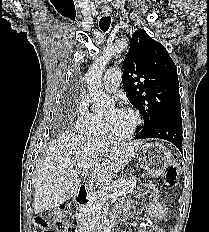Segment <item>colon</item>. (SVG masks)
<instances>
[{"label":"colon","mask_w":209,"mask_h":232,"mask_svg":"<svg viewBox=\"0 0 209 232\" xmlns=\"http://www.w3.org/2000/svg\"><path fill=\"white\" fill-rule=\"evenodd\" d=\"M180 172V162L177 158L168 167L165 174V185L172 187L176 184ZM36 232H53L54 227L58 232H76L75 226L69 222L65 210L61 207L46 210L37 214L33 219Z\"/></svg>","instance_id":"colon-1"}]
</instances>
